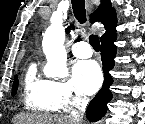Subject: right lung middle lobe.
<instances>
[{"instance_id": "right-lung-middle-lobe-1", "label": "right lung middle lobe", "mask_w": 145, "mask_h": 124, "mask_svg": "<svg viewBox=\"0 0 145 124\" xmlns=\"http://www.w3.org/2000/svg\"><path fill=\"white\" fill-rule=\"evenodd\" d=\"M17 87H18V77L16 76L13 83L12 95L16 93Z\"/></svg>"}]
</instances>
